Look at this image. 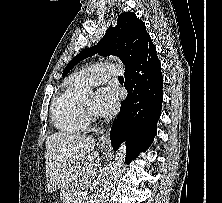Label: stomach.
I'll list each match as a JSON object with an SVG mask.
<instances>
[{"label":"stomach","instance_id":"obj_1","mask_svg":"<svg viewBox=\"0 0 222 203\" xmlns=\"http://www.w3.org/2000/svg\"><path fill=\"white\" fill-rule=\"evenodd\" d=\"M74 188H75V186L73 185L70 189H68V190L65 189L64 190V191H66V194L62 195L64 200H69L71 198V193L73 192Z\"/></svg>","mask_w":222,"mask_h":203}]
</instances>
